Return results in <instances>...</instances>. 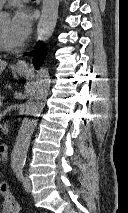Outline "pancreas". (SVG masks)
<instances>
[{"label": "pancreas", "mask_w": 128, "mask_h": 213, "mask_svg": "<svg viewBox=\"0 0 128 213\" xmlns=\"http://www.w3.org/2000/svg\"><path fill=\"white\" fill-rule=\"evenodd\" d=\"M0 101H1V97H0ZM3 133L4 134H7L8 133V129H7V125H5L2 129Z\"/></svg>", "instance_id": "pancreas-1"}]
</instances>
